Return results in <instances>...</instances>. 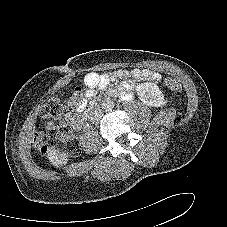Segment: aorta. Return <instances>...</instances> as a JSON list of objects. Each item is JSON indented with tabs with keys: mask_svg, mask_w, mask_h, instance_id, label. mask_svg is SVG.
<instances>
[{
	"mask_svg": "<svg viewBox=\"0 0 227 227\" xmlns=\"http://www.w3.org/2000/svg\"><path fill=\"white\" fill-rule=\"evenodd\" d=\"M102 108L106 111H111L114 108V102L110 99H106L102 103Z\"/></svg>",
	"mask_w": 227,
	"mask_h": 227,
	"instance_id": "obj_1",
	"label": "aorta"
}]
</instances>
